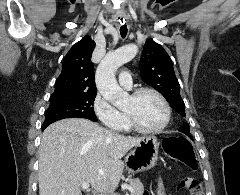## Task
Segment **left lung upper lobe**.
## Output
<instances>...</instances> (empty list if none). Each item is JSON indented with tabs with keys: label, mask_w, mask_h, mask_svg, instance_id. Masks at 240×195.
Returning a JSON list of instances; mask_svg holds the SVG:
<instances>
[{
	"label": "left lung upper lobe",
	"mask_w": 240,
	"mask_h": 195,
	"mask_svg": "<svg viewBox=\"0 0 240 195\" xmlns=\"http://www.w3.org/2000/svg\"><path fill=\"white\" fill-rule=\"evenodd\" d=\"M142 80L159 91L168 103L181 115L185 116V104L180 96V85L172 67V61L164 48L147 40L140 59ZM189 124L184 123L179 131L190 136Z\"/></svg>",
	"instance_id": "5c2ea615"
}]
</instances>
